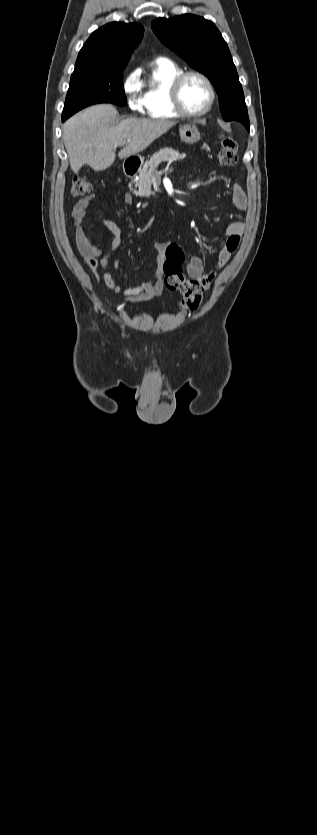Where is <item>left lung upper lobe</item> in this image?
<instances>
[{
	"mask_svg": "<svg viewBox=\"0 0 317 835\" xmlns=\"http://www.w3.org/2000/svg\"><path fill=\"white\" fill-rule=\"evenodd\" d=\"M152 29L157 37L187 63L207 76L218 93L225 121L241 122L249 128L244 93L231 53L213 22L184 14L158 18Z\"/></svg>",
	"mask_w": 317,
	"mask_h": 835,
	"instance_id": "obj_1",
	"label": "left lung upper lobe"
}]
</instances>
